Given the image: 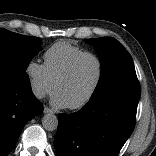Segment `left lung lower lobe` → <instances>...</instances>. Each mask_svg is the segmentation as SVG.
<instances>
[{
    "label": "left lung lower lobe",
    "mask_w": 156,
    "mask_h": 156,
    "mask_svg": "<svg viewBox=\"0 0 156 156\" xmlns=\"http://www.w3.org/2000/svg\"><path fill=\"white\" fill-rule=\"evenodd\" d=\"M139 96L110 93L78 112L60 114L54 147L58 156H117L135 127Z\"/></svg>",
    "instance_id": "left-lung-lower-lobe-1"
}]
</instances>
